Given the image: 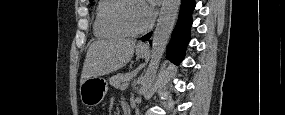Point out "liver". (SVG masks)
<instances>
[{
	"label": "liver",
	"instance_id": "6515ba94",
	"mask_svg": "<svg viewBox=\"0 0 285 115\" xmlns=\"http://www.w3.org/2000/svg\"><path fill=\"white\" fill-rule=\"evenodd\" d=\"M136 41L114 38L93 42L86 54L80 83L91 77L110 74L124 67L133 57Z\"/></svg>",
	"mask_w": 285,
	"mask_h": 115
}]
</instances>
